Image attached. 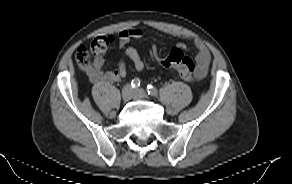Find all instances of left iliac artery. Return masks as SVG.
I'll list each match as a JSON object with an SVG mask.
<instances>
[{
  "mask_svg": "<svg viewBox=\"0 0 292 184\" xmlns=\"http://www.w3.org/2000/svg\"><path fill=\"white\" fill-rule=\"evenodd\" d=\"M146 90H147L149 95H151L153 97H157L158 96V90L154 86L147 85Z\"/></svg>",
  "mask_w": 292,
  "mask_h": 184,
  "instance_id": "left-iliac-artery-1",
  "label": "left iliac artery"
}]
</instances>
